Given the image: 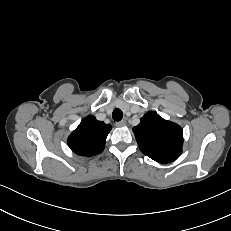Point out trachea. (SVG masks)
Here are the masks:
<instances>
[{"label":"trachea","mask_w":231,"mask_h":231,"mask_svg":"<svg viewBox=\"0 0 231 231\" xmlns=\"http://www.w3.org/2000/svg\"><path fill=\"white\" fill-rule=\"evenodd\" d=\"M112 118L114 121H120L123 118V112L120 109H115L112 113Z\"/></svg>","instance_id":"3493384b"}]
</instances>
